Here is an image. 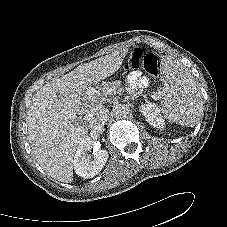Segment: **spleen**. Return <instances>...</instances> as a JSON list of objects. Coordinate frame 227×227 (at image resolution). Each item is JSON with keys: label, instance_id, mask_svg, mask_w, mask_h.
Returning <instances> with one entry per match:
<instances>
[{"label": "spleen", "instance_id": "obj_1", "mask_svg": "<svg viewBox=\"0 0 227 227\" xmlns=\"http://www.w3.org/2000/svg\"><path fill=\"white\" fill-rule=\"evenodd\" d=\"M163 90L158 93L163 99L162 113L170 122L193 127L203 113V100L195 79L178 60L164 56L161 61Z\"/></svg>", "mask_w": 227, "mask_h": 227}]
</instances>
